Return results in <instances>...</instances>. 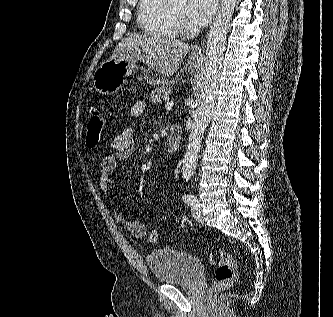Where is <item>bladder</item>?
<instances>
[{
  "mask_svg": "<svg viewBox=\"0 0 333 317\" xmlns=\"http://www.w3.org/2000/svg\"><path fill=\"white\" fill-rule=\"evenodd\" d=\"M146 262L155 280L168 285L190 284L202 268L198 256L169 247L153 250Z\"/></svg>",
  "mask_w": 333,
  "mask_h": 317,
  "instance_id": "bladder-1",
  "label": "bladder"
}]
</instances>
